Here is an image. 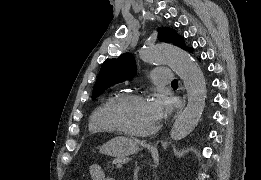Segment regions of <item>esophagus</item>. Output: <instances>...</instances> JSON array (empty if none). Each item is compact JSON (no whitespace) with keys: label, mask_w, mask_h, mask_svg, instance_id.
<instances>
[{"label":"esophagus","mask_w":261,"mask_h":180,"mask_svg":"<svg viewBox=\"0 0 261 180\" xmlns=\"http://www.w3.org/2000/svg\"><path fill=\"white\" fill-rule=\"evenodd\" d=\"M185 101H186V100H185V96L183 95L181 105H180L178 111L176 112L174 118H176V116L181 112V110H183V108H184V106H185Z\"/></svg>","instance_id":"obj_1"}]
</instances>
